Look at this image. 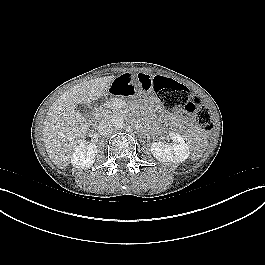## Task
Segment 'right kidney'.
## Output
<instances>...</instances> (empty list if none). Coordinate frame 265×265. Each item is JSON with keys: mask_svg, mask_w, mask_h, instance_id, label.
<instances>
[{"mask_svg": "<svg viewBox=\"0 0 265 265\" xmlns=\"http://www.w3.org/2000/svg\"><path fill=\"white\" fill-rule=\"evenodd\" d=\"M97 152L95 143L86 144L81 140L71 155V164L78 169H87L95 162Z\"/></svg>", "mask_w": 265, "mask_h": 265, "instance_id": "ca27d5eb", "label": "right kidney"}]
</instances>
